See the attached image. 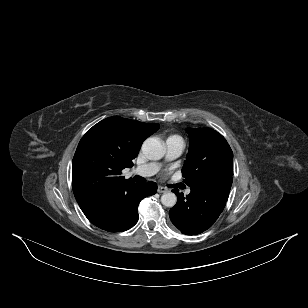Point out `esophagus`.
I'll return each instance as SVG.
<instances>
[{
  "mask_svg": "<svg viewBox=\"0 0 308 308\" xmlns=\"http://www.w3.org/2000/svg\"><path fill=\"white\" fill-rule=\"evenodd\" d=\"M157 191H158L159 193H164V192H166V191H167V189H166V188H164V187H162V186H158Z\"/></svg>",
  "mask_w": 308,
  "mask_h": 308,
  "instance_id": "1",
  "label": "esophagus"
}]
</instances>
